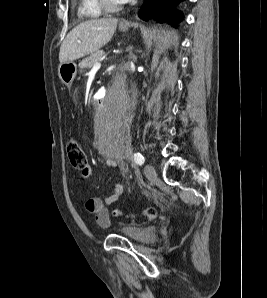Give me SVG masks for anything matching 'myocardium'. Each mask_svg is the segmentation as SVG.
I'll return each mask as SVG.
<instances>
[{
    "mask_svg": "<svg viewBox=\"0 0 267 298\" xmlns=\"http://www.w3.org/2000/svg\"><path fill=\"white\" fill-rule=\"evenodd\" d=\"M101 9L107 13H114L122 8L121 3H114L111 0H98Z\"/></svg>",
    "mask_w": 267,
    "mask_h": 298,
    "instance_id": "1",
    "label": "myocardium"
}]
</instances>
